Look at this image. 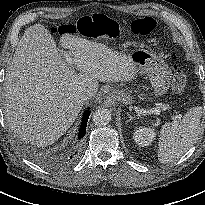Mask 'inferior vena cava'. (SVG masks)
Wrapping results in <instances>:
<instances>
[{"label": "inferior vena cava", "mask_w": 205, "mask_h": 205, "mask_svg": "<svg viewBox=\"0 0 205 205\" xmlns=\"http://www.w3.org/2000/svg\"><path fill=\"white\" fill-rule=\"evenodd\" d=\"M89 98H91V94L88 92H78L75 95V101L79 104H84Z\"/></svg>", "instance_id": "obj_1"}]
</instances>
